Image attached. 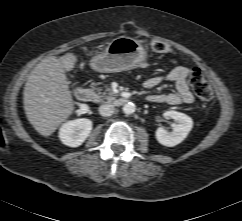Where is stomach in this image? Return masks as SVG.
Returning a JSON list of instances; mask_svg holds the SVG:
<instances>
[{
    "mask_svg": "<svg viewBox=\"0 0 242 221\" xmlns=\"http://www.w3.org/2000/svg\"><path fill=\"white\" fill-rule=\"evenodd\" d=\"M147 59V50L139 41L120 36L109 42L103 52L92 57L90 67L100 73H115L147 67Z\"/></svg>",
    "mask_w": 242,
    "mask_h": 221,
    "instance_id": "0dacf381",
    "label": "stomach"
}]
</instances>
